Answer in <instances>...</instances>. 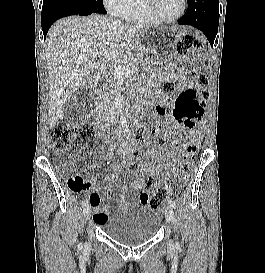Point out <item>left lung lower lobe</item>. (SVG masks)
Returning <instances> with one entry per match:
<instances>
[{
	"label": "left lung lower lobe",
	"mask_w": 265,
	"mask_h": 273,
	"mask_svg": "<svg viewBox=\"0 0 265 273\" xmlns=\"http://www.w3.org/2000/svg\"><path fill=\"white\" fill-rule=\"evenodd\" d=\"M188 9L178 20L180 25H190L201 30L211 46L214 43L219 24V0H187Z\"/></svg>",
	"instance_id": "obj_1"
}]
</instances>
